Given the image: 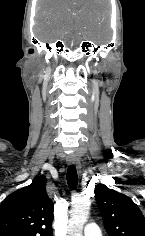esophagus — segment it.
<instances>
[{
  "mask_svg": "<svg viewBox=\"0 0 145 236\" xmlns=\"http://www.w3.org/2000/svg\"><path fill=\"white\" fill-rule=\"evenodd\" d=\"M67 162L69 165H76L77 168L80 169V162L75 154L68 155Z\"/></svg>",
  "mask_w": 145,
  "mask_h": 236,
  "instance_id": "obj_1",
  "label": "esophagus"
}]
</instances>
